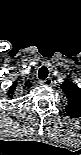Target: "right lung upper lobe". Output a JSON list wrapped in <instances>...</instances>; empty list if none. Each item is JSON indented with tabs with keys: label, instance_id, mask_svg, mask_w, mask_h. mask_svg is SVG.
<instances>
[{
	"label": "right lung upper lobe",
	"instance_id": "1",
	"mask_svg": "<svg viewBox=\"0 0 81 155\" xmlns=\"http://www.w3.org/2000/svg\"><path fill=\"white\" fill-rule=\"evenodd\" d=\"M16 85H17V83L15 82V83H13V85L9 88V91H8V95H9V98H12V95H13V93H14V91H15V89H16ZM25 85L28 87V88H30L32 85L31 84H29V83H25Z\"/></svg>",
	"mask_w": 81,
	"mask_h": 155
}]
</instances>
